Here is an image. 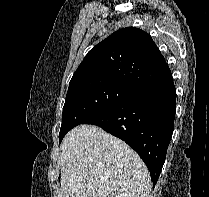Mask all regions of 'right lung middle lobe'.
<instances>
[{"label": "right lung middle lobe", "instance_id": "dd1d6c3e", "mask_svg": "<svg viewBox=\"0 0 209 197\" xmlns=\"http://www.w3.org/2000/svg\"><path fill=\"white\" fill-rule=\"evenodd\" d=\"M137 89L115 80H87L69 84L59 140L73 127L122 101Z\"/></svg>", "mask_w": 209, "mask_h": 197}]
</instances>
